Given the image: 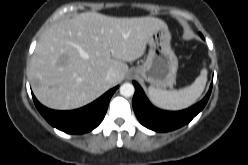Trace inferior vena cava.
<instances>
[{"label": "inferior vena cava", "mask_w": 248, "mask_h": 165, "mask_svg": "<svg viewBox=\"0 0 248 165\" xmlns=\"http://www.w3.org/2000/svg\"><path fill=\"white\" fill-rule=\"evenodd\" d=\"M116 78V73L114 71H110L106 75V80L110 83H113Z\"/></svg>", "instance_id": "inferior-vena-cava-1"}]
</instances>
